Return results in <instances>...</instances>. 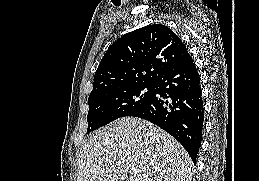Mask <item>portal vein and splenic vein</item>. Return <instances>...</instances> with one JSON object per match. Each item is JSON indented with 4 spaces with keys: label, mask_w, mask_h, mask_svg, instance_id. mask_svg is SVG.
Returning a JSON list of instances; mask_svg holds the SVG:
<instances>
[{
    "label": "portal vein and splenic vein",
    "mask_w": 259,
    "mask_h": 181,
    "mask_svg": "<svg viewBox=\"0 0 259 181\" xmlns=\"http://www.w3.org/2000/svg\"><path fill=\"white\" fill-rule=\"evenodd\" d=\"M134 172H136V169H135V168H132V169L130 170V173L132 174V173H134Z\"/></svg>",
    "instance_id": "obj_1"
}]
</instances>
